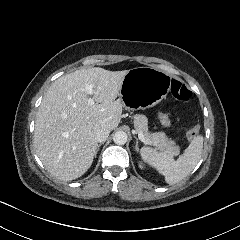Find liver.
Returning <instances> with one entry per match:
<instances>
[{
	"label": "liver",
	"instance_id": "liver-1",
	"mask_svg": "<svg viewBox=\"0 0 240 240\" xmlns=\"http://www.w3.org/2000/svg\"><path fill=\"white\" fill-rule=\"evenodd\" d=\"M128 70L100 67L78 69L59 77L39 106L34 144L36 154L56 178L68 181L81 176L91 165L98 129L116 128L122 116L117 98ZM94 84L92 98L84 91Z\"/></svg>",
	"mask_w": 240,
	"mask_h": 240
}]
</instances>
